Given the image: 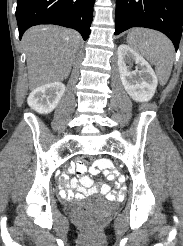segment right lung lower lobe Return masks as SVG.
I'll use <instances>...</instances> for the list:
<instances>
[{
    "label": "right lung lower lobe",
    "mask_w": 183,
    "mask_h": 246,
    "mask_svg": "<svg viewBox=\"0 0 183 246\" xmlns=\"http://www.w3.org/2000/svg\"><path fill=\"white\" fill-rule=\"evenodd\" d=\"M95 0H17L19 38L34 25L55 24L73 28L89 37Z\"/></svg>",
    "instance_id": "1"
}]
</instances>
